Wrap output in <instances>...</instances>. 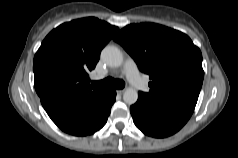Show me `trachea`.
I'll list each match as a JSON object with an SVG mask.
<instances>
[{
  "instance_id": "3493384b",
  "label": "trachea",
  "mask_w": 238,
  "mask_h": 158,
  "mask_svg": "<svg viewBox=\"0 0 238 158\" xmlns=\"http://www.w3.org/2000/svg\"><path fill=\"white\" fill-rule=\"evenodd\" d=\"M97 86H102V87H113L116 89H123L125 87V82L120 79H113L111 77H108L104 80L101 81H95L93 82Z\"/></svg>"
}]
</instances>
